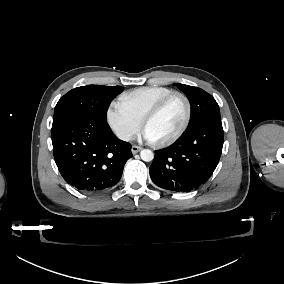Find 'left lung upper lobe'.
I'll return each mask as SVG.
<instances>
[{
	"instance_id": "5c2ea615",
	"label": "left lung upper lobe",
	"mask_w": 284,
	"mask_h": 284,
	"mask_svg": "<svg viewBox=\"0 0 284 284\" xmlns=\"http://www.w3.org/2000/svg\"><path fill=\"white\" fill-rule=\"evenodd\" d=\"M185 93L191 104V118L189 126L209 119H221L220 110L215 99L198 87L184 84H175Z\"/></svg>"
}]
</instances>
